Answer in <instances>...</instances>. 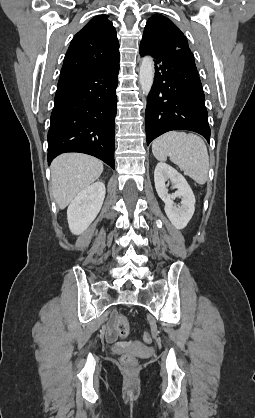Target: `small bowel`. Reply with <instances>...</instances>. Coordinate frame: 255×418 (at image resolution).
<instances>
[{
    "mask_svg": "<svg viewBox=\"0 0 255 418\" xmlns=\"http://www.w3.org/2000/svg\"><path fill=\"white\" fill-rule=\"evenodd\" d=\"M106 335H107L108 340H110V341H114L116 339L117 331H116L113 323H110L108 325L107 330H106Z\"/></svg>",
    "mask_w": 255,
    "mask_h": 418,
    "instance_id": "obj_1",
    "label": "small bowel"
}]
</instances>
